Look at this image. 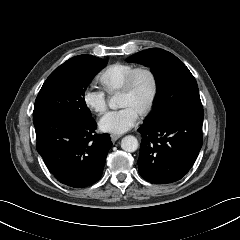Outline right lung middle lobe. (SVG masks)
I'll return each mask as SVG.
<instances>
[{"instance_id":"dd1d6c3e","label":"right lung middle lobe","mask_w":240,"mask_h":240,"mask_svg":"<svg viewBox=\"0 0 240 240\" xmlns=\"http://www.w3.org/2000/svg\"><path fill=\"white\" fill-rule=\"evenodd\" d=\"M107 60H92L62 64L55 69L40 89L33 117L63 116L75 120L92 119L86 106L84 92L94 74L105 67Z\"/></svg>"}]
</instances>
